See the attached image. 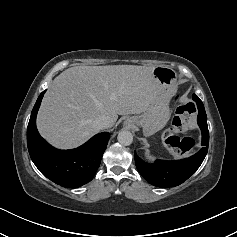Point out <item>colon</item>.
I'll list each match as a JSON object with an SVG mask.
<instances>
[{
  "instance_id": "obj_1",
  "label": "colon",
  "mask_w": 237,
  "mask_h": 237,
  "mask_svg": "<svg viewBox=\"0 0 237 237\" xmlns=\"http://www.w3.org/2000/svg\"><path fill=\"white\" fill-rule=\"evenodd\" d=\"M196 108L193 103H181L178 105L176 115L173 118L170 132L166 134L165 141L183 151L190 150L194 146L190 138H180L175 133L185 132L193 127Z\"/></svg>"
}]
</instances>
